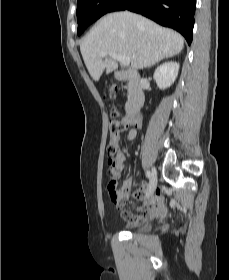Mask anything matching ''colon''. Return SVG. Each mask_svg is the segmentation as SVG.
<instances>
[{
    "mask_svg": "<svg viewBox=\"0 0 229 280\" xmlns=\"http://www.w3.org/2000/svg\"><path fill=\"white\" fill-rule=\"evenodd\" d=\"M127 83V82H125ZM118 87L115 85L110 89L109 97L113 98L117 93ZM130 126V122L127 120H123L119 117L117 112H113L110 123H109V141L107 145V167H108V175L112 180V187H116L117 182L113 177V169L115 165L114 156L120 150V134L125 132L127 128Z\"/></svg>",
    "mask_w": 229,
    "mask_h": 280,
    "instance_id": "colon-1",
    "label": "colon"
}]
</instances>
